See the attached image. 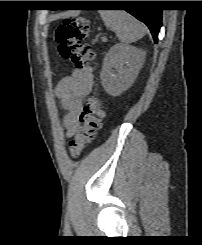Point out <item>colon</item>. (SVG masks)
Returning <instances> with one entry per match:
<instances>
[{
  "label": "colon",
  "instance_id": "obj_1",
  "mask_svg": "<svg viewBox=\"0 0 202 245\" xmlns=\"http://www.w3.org/2000/svg\"><path fill=\"white\" fill-rule=\"evenodd\" d=\"M89 31L85 17L64 19L55 33V41L60 56L78 68L94 65L95 52L92 46L82 44ZM105 118L103 104L93 98L84 107L78 127L72 135L68 150L72 157H79L84 149L96 138Z\"/></svg>",
  "mask_w": 202,
  "mask_h": 245
}]
</instances>
